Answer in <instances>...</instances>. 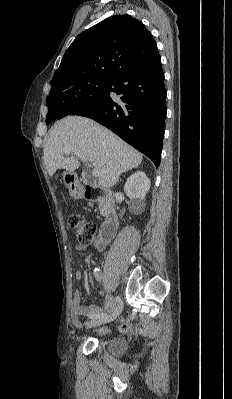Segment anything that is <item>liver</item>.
Here are the masks:
<instances>
[{"label":"liver","instance_id":"obj_1","mask_svg":"<svg viewBox=\"0 0 232 399\" xmlns=\"http://www.w3.org/2000/svg\"><path fill=\"white\" fill-rule=\"evenodd\" d=\"M70 146L99 172L98 184L109 190L122 172L137 168L142 154L125 144L118 136L81 116H67L52 126L44 148V164L49 176L63 168L75 172L80 166L74 154L64 158L63 148Z\"/></svg>","mask_w":232,"mask_h":399}]
</instances>
